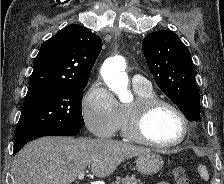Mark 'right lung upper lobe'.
I'll use <instances>...</instances> for the list:
<instances>
[{
	"label": "right lung upper lobe",
	"instance_id": "1",
	"mask_svg": "<svg viewBox=\"0 0 224 184\" xmlns=\"http://www.w3.org/2000/svg\"><path fill=\"white\" fill-rule=\"evenodd\" d=\"M102 40L80 25H68L45 41L34 59L29 86L87 83Z\"/></svg>",
	"mask_w": 224,
	"mask_h": 184
}]
</instances>
